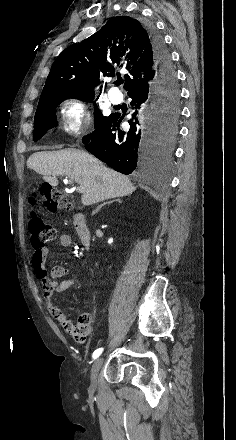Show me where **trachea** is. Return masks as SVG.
<instances>
[{
	"mask_svg": "<svg viewBox=\"0 0 236 440\" xmlns=\"http://www.w3.org/2000/svg\"><path fill=\"white\" fill-rule=\"evenodd\" d=\"M123 82H124L123 79H118V80L116 81V84H117V85H121V84H123Z\"/></svg>",
	"mask_w": 236,
	"mask_h": 440,
	"instance_id": "3493384b",
	"label": "trachea"
}]
</instances>
